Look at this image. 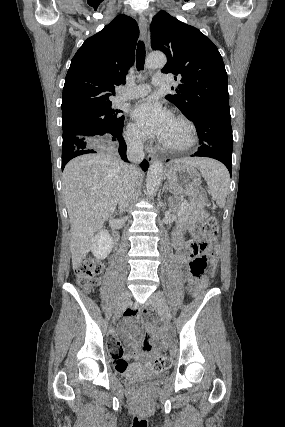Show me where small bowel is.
Wrapping results in <instances>:
<instances>
[{
  "mask_svg": "<svg viewBox=\"0 0 285 427\" xmlns=\"http://www.w3.org/2000/svg\"><path fill=\"white\" fill-rule=\"evenodd\" d=\"M184 230L183 227H179L176 233L174 234V245L176 248V258L177 261L181 264H184L186 261L185 248L183 246V241L181 238V232ZM136 318L134 314L124 315L122 323L125 326H130L135 324ZM132 345L133 350L126 354L123 351L122 344L119 340L110 337L108 339V345L111 349V356L113 360V366L115 369H121L119 363L122 361L130 360L133 363H141L150 355L148 352L144 351L140 346L139 342L131 339H127Z\"/></svg>",
  "mask_w": 285,
  "mask_h": 427,
  "instance_id": "c3829d8e",
  "label": "small bowel"
}]
</instances>
